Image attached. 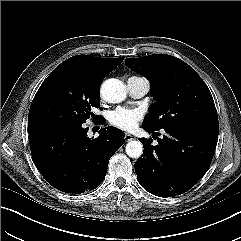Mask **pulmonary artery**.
<instances>
[{
	"instance_id": "1",
	"label": "pulmonary artery",
	"mask_w": 241,
	"mask_h": 241,
	"mask_svg": "<svg viewBox=\"0 0 241 241\" xmlns=\"http://www.w3.org/2000/svg\"><path fill=\"white\" fill-rule=\"evenodd\" d=\"M127 89L134 98H141L150 90V83L146 78L133 76L127 80Z\"/></svg>"
}]
</instances>
